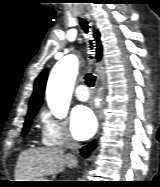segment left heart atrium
Here are the masks:
<instances>
[{
    "label": "left heart atrium",
    "instance_id": "39dd6f15",
    "mask_svg": "<svg viewBox=\"0 0 160 187\" xmlns=\"http://www.w3.org/2000/svg\"><path fill=\"white\" fill-rule=\"evenodd\" d=\"M96 119L93 112L86 106L76 107L71 115V129L79 140H86L93 136L96 130Z\"/></svg>",
    "mask_w": 160,
    "mask_h": 187
}]
</instances>
